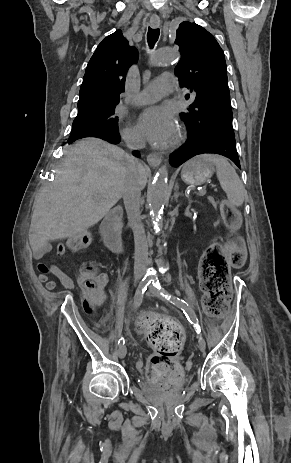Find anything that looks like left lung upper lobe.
Segmentation results:
<instances>
[{"label":"left lung upper lobe","instance_id":"left-lung-upper-lobe-1","mask_svg":"<svg viewBox=\"0 0 291 463\" xmlns=\"http://www.w3.org/2000/svg\"><path fill=\"white\" fill-rule=\"evenodd\" d=\"M175 43L181 60L175 75L190 91L192 104L180 114L187 129L234 136L224 52L214 36L196 23L183 22Z\"/></svg>","mask_w":291,"mask_h":463}]
</instances>
